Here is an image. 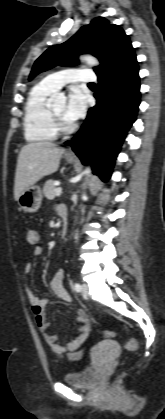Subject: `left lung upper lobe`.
I'll return each mask as SVG.
<instances>
[{
  "label": "left lung upper lobe",
  "instance_id": "5c2ea615",
  "mask_svg": "<svg viewBox=\"0 0 165 419\" xmlns=\"http://www.w3.org/2000/svg\"><path fill=\"white\" fill-rule=\"evenodd\" d=\"M131 48L130 39L120 26L97 17L68 41L47 49L35 61L29 80L57 65H76L81 53H91L100 60L101 65L94 68L95 73L100 75L121 60Z\"/></svg>",
  "mask_w": 165,
  "mask_h": 419
}]
</instances>
